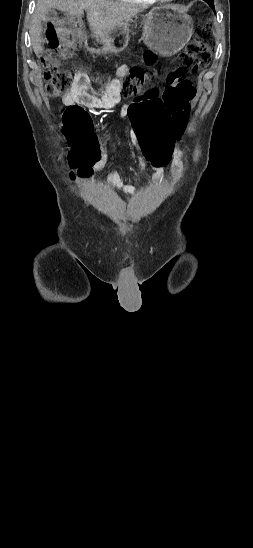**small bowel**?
Returning a JSON list of instances; mask_svg holds the SVG:
<instances>
[{"mask_svg":"<svg viewBox=\"0 0 253 548\" xmlns=\"http://www.w3.org/2000/svg\"><path fill=\"white\" fill-rule=\"evenodd\" d=\"M129 71L130 67L127 64L122 65L117 71L119 78L115 79L101 96L95 94L91 90L89 78L86 73L81 71L75 73L72 88L70 92L63 98L64 105H81L89 109L115 111L114 118L107 122L104 126V129L106 131L109 130L116 121L124 119L129 114L130 105L123 109L117 108V104L120 98V77L128 74ZM130 134L133 143L139 146V143L142 141L135 137V133H131L130 131ZM171 158V172L174 175H177L182 169V151L175 144V140L174 144L172 145ZM109 161V153L107 151L102 152L99 158L91 165L90 171L104 168L109 163ZM137 161L140 172H143L147 165V162H150L148 158H143L142 156H139L137 158ZM152 167L154 169L152 182L154 184H159L164 176V166ZM108 182L114 189L124 193L125 195H133L135 193V188L132 185L124 184L120 174L116 171H113L108 175Z\"/></svg>","mask_w":253,"mask_h":548,"instance_id":"small-bowel-1","label":"small bowel"}]
</instances>
